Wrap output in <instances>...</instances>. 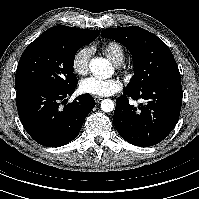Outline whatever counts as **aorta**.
<instances>
[{
	"mask_svg": "<svg viewBox=\"0 0 199 199\" xmlns=\"http://www.w3.org/2000/svg\"><path fill=\"white\" fill-rule=\"evenodd\" d=\"M91 72L100 77H107L111 72V66L108 60L104 58H94L89 63ZM115 108L114 102L110 99H104L101 102V110L111 112Z\"/></svg>",
	"mask_w": 199,
	"mask_h": 199,
	"instance_id": "aorta-1",
	"label": "aorta"
}]
</instances>
